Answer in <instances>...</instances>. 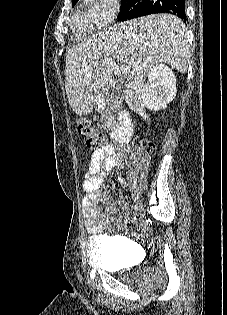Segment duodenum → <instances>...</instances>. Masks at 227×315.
I'll return each instance as SVG.
<instances>
[{"mask_svg": "<svg viewBox=\"0 0 227 315\" xmlns=\"http://www.w3.org/2000/svg\"><path fill=\"white\" fill-rule=\"evenodd\" d=\"M132 131L133 125L130 114L123 109H119L117 111L116 124L112 132L114 141L120 145L128 143Z\"/></svg>", "mask_w": 227, "mask_h": 315, "instance_id": "1", "label": "duodenum"}]
</instances>
